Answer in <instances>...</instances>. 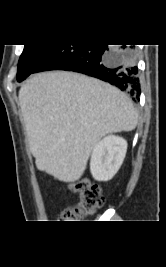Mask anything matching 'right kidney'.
Here are the masks:
<instances>
[{
    "label": "right kidney",
    "instance_id": "ca27d5eb",
    "mask_svg": "<svg viewBox=\"0 0 166 267\" xmlns=\"http://www.w3.org/2000/svg\"><path fill=\"white\" fill-rule=\"evenodd\" d=\"M127 151V142L119 136H107L93 149L90 171L98 181L113 178L121 167Z\"/></svg>",
    "mask_w": 166,
    "mask_h": 267
}]
</instances>
